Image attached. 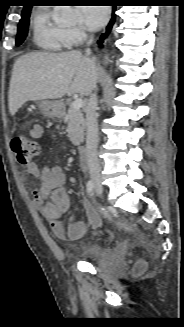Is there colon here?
Segmentation results:
<instances>
[{
  "mask_svg": "<svg viewBox=\"0 0 184 327\" xmlns=\"http://www.w3.org/2000/svg\"><path fill=\"white\" fill-rule=\"evenodd\" d=\"M11 147L16 154L17 160L23 165H28L41 153L40 142L23 133H18L13 137ZM85 209L90 225L92 227L101 226L102 219L96 210L89 205H86Z\"/></svg>",
  "mask_w": 184,
  "mask_h": 327,
  "instance_id": "1",
  "label": "colon"
}]
</instances>
